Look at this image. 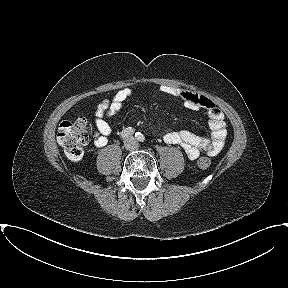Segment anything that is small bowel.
I'll list each match as a JSON object with an SVG mask.
<instances>
[{
    "label": "small bowel",
    "mask_w": 288,
    "mask_h": 288,
    "mask_svg": "<svg viewBox=\"0 0 288 288\" xmlns=\"http://www.w3.org/2000/svg\"><path fill=\"white\" fill-rule=\"evenodd\" d=\"M159 91L181 99L184 106L189 110H204L208 116L211 130L209 137L197 135L187 130L167 132L163 136L164 141L168 144L181 146L191 160L196 159L200 152H206L211 156L219 154L224 147L227 130L224 114L216 104L204 95L185 89L162 85L159 87ZM132 94L133 92L130 88H124L116 92L110 100H103L97 104L94 113L96 128L93 134V141L95 146L103 147L107 145L111 126L106 119L118 113Z\"/></svg>",
    "instance_id": "obj_1"
}]
</instances>
